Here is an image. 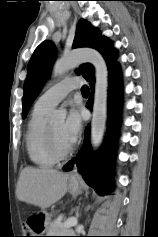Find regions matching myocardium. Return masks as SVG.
I'll use <instances>...</instances> for the list:
<instances>
[{"instance_id":"f54148a6","label":"myocardium","mask_w":158,"mask_h":237,"mask_svg":"<svg viewBox=\"0 0 158 237\" xmlns=\"http://www.w3.org/2000/svg\"><path fill=\"white\" fill-rule=\"evenodd\" d=\"M44 140H45V145L47 148V151L49 155L55 160V161H60L63 159H66L69 157L73 151V147L70 146L67 150L65 151H60L54 142L52 132L50 129V125L46 126L45 129V134H44Z\"/></svg>"}]
</instances>
